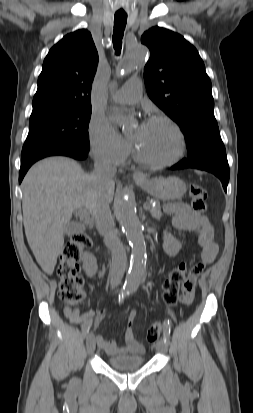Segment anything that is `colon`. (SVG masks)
I'll list each match as a JSON object with an SVG mask.
<instances>
[{
	"label": "colon",
	"mask_w": 253,
	"mask_h": 413,
	"mask_svg": "<svg viewBox=\"0 0 253 413\" xmlns=\"http://www.w3.org/2000/svg\"><path fill=\"white\" fill-rule=\"evenodd\" d=\"M192 210L207 223V191L204 187L194 184L189 189ZM91 245V238L86 232H77L66 242L56 268L59 278V297L69 307L82 304L86 298L84 280L80 275L79 260L81 251ZM187 273V264L181 262L173 268L162 284V299L168 307H174L180 297L179 285ZM162 332L161 323L151 325L146 333L149 342H155Z\"/></svg>",
	"instance_id": "1"
}]
</instances>
